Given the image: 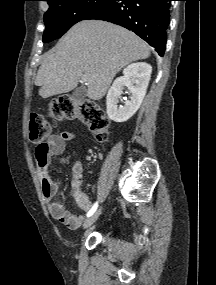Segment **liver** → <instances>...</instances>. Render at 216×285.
I'll use <instances>...</instances> for the list:
<instances>
[{"instance_id": "liver-1", "label": "liver", "mask_w": 216, "mask_h": 285, "mask_svg": "<svg viewBox=\"0 0 216 285\" xmlns=\"http://www.w3.org/2000/svg\"><path fill=\"white\" fill-rule=\"evenodd\" d=\"M149 56V46L133 32L104 21H81L47 54L35 85L48 98L72 91L85 77L87 96L100 100L123 67Z\"/></svg>"}]
</instances>
